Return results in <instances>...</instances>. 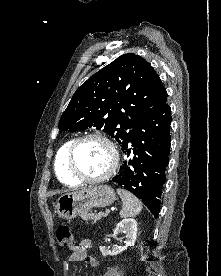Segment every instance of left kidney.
Instances as JSON below:
<instances>
[{
	"label": "left kidney",
	"instance_id": "1",
	"mask_svg": "<svg viewBox=\"0 0 221 276\" xmlns=\"http://www.w3.org/2000/svg\"><path fill=\"white\" fill-rule=\"evenodd\" d=\"M138 224L135 219H123L120 221L116 228L114 229V234H125V246H117L112 251L106 249L105 246L100 247V251L104 257L110 255L114 256L120 254L124 250H126L129 246H134L136 236H137Z\"/></svg>",
	"mask_w": 221,
	"mask_h": 276
}]
</instances>
